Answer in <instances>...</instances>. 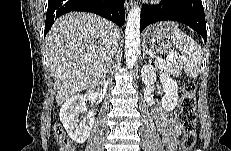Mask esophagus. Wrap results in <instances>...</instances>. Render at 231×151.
I'll return each mask as SVG.
<instances>
[{
    "mask_svg": "<svg viewBox=\"0 0 231 151\" xmlns=\"http://www.w3.org/2000/svg\"><path fill=\"white\" fill-rule=\"evenodd\" d=\"M133 4V1L132 0H126L125 1V8L127 10H129L130 6Z\"/></svg>",
    "mask_w": 231,
    "mask_h": 151,
    "instance_id": "34e87169",
    "label": "esophagus"
}]
</instances>
